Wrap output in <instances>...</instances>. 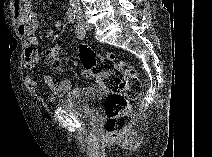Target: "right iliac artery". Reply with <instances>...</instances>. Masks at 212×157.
<instances>
[{"instance_id": "1", "label": "right iliac artery", "mask_w": 212, "mask_h": 157, "mask_svg": "<svg viewBox=\"0 0 212 157\" xmlns=\"http://www.w3.org/2000/svg\"><path fill=\"white\" fill-rule=\"evenodd\" d=\"M74 19H75V15H70V16H69V21H70L71 23L74 22Z\"/></svg>"}]
</instances>
